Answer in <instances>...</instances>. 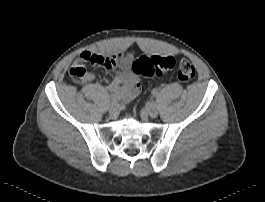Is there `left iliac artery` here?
Returning <instances> with one entry per match:
<instances>
[{
  "label": "left iliac artery",
  "instance_id": "left-iliac-artery-1",
  "mask_svg": "<svg viewBox=\"0 0 265 202\" xmlns=\"http://www.w3.org/2000/svg\"><path fill=\"white\" fill-rule=\"evenodd\" d=\"M152 95H153V96H156V95H157V91L153 90V91H152Z\"/></svg>",
  "mask_w": 265,
  "mask_h": 202
}]
</instances>
